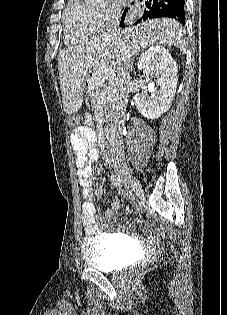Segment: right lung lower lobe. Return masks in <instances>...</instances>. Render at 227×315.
<instances>
[{"instance_id": "right-lung-lower-lobe-1", "label": "right lung lower lobe", "mask_w": 227, "mask_h": 315, "mask_svg": "<svg viewBox=\"0 0 227 315\" xmlns=\"http://www.w3.org/2000/svg\"><path fill=\"white\" fill-rule=\"evenodd\" d=\"M184 0H143L142 6L144 7V14L136 22L140 23L142 20L157 18V17H171L184 22L185 12H184ZM125 9L121 17L120 26H124V19L126 16Z\"/></svg>"}]
</instances>
